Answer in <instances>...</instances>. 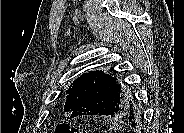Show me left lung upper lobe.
<instances>
[{
	"label": "left lung upper lobe",
	"mask_w": 184,
	"mask_h": 133,
	"mask_svg": "<svg viewBox=\"0 0 184 133\" xmlns=\"http://www.w3.org/2000/svg\"><path fill=\"white\" fill-rule=\"evenodd\" d=\"M96 71H90L78 77L66 91L67 99L64 105V111L72 112L75 107L88 95L92 90L95 82ZM132 111L136 115L138 124L142 122V109L138 100L133 104Z\"/></svg>",
	"instance_id": "1"
}]
</instances>
